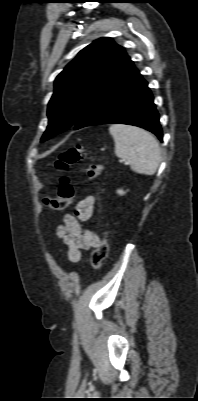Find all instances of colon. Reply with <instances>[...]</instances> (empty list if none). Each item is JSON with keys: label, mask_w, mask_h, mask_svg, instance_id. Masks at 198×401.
I'll list each match as a JSON object with an SVG mask.
<instances>
[{"label": "colon", "mask_w": 198, "mask_h": 401, "mask_svg": "<svg viewBox=\"0 0 198 401\" xmlns=\"http://www.w3.org/2000/svg\"><path fill=\"white\" fill-rule=\"evenodd\" d=\"M84 157L83 146L77 144L63 151L55 160V166L58 170L64 171L76 164ZM102 170L101 164L92 162L88 168V176L96 178ZM75 195L73 185L67 177H61L56 197H47L44 199L45 204L55 211L63 210L69 206ZM108 240L105 233L100 240L98 246L92 253L91 261L95 269H99L108 254Z\"/></svg>", "instance_id": "obj_1"}]
</instances>
